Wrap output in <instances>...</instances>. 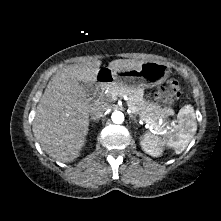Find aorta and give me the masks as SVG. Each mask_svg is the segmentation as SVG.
<instances>
[{"label":"aorta","instance_id":"1","mask_svg":"<svg viewBox=\"0 0 221 221\" xmlns=\"http://www.w3.org/2000/svg\"><path fill=\"white\" fill-rule=\"evenodd\" d=\"M113 123L121 124L124 121V114L121 111H114L111 115Z\"/></svg>","mask_w":221,"mask_h":221}]
</instances>
